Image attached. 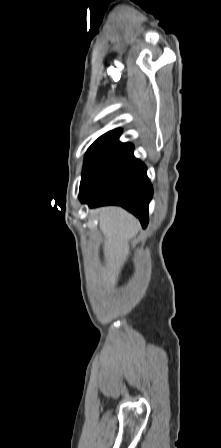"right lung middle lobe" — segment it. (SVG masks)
<instances>
[{"label":"right lung middle lobe","mask_w":221,"mask_h":448,"mask_svg":"<svg viewBox=\"0 0 221 448\" xmlns=\"http://www.w3.org/2000/svg\"><path fill=\"white\" fill-rule=\"evenodd\" d=\"M111 148H89L84 160L80 189L86 184L94 170L103 159L112 151Z\"/></svg>","instance_id":"1"}]
</instances>
